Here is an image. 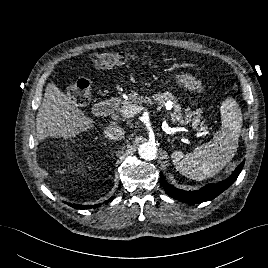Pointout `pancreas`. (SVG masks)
Instances as JSON below:
<instances>
[{
    "instance_id": "pancreas-1",
    "label": "pancreas",
    "mask_w": 268,
    "mask_h": 268,
    "mask_svg": "<svg viewBox=\"0 0 268 268\" xmlns=\"http://www.w3.org/2000/svg\"><path fill=\"white\" fill-rule=\"evenodd\" d=\"M168 101H171V104H168L166 106V103ZM158 104L162 107L166 106L167 109H169V114L172 118L173 122H179L180 124L182 123H188L192 121V116H195L193 119L194 123H198L201 111L198 110L197 112H191L189 109H185V115L183 116L181 106L177 103L176 98L172 95V93L169 92H164V93H158L155 94L151 97L147 96H139L136 92H132L131 94L128 95V99L123 100L119 103H117V109L121 111L124 108L131 107V106H138L142 104Z\"/></svg>"
}]
</instances>
